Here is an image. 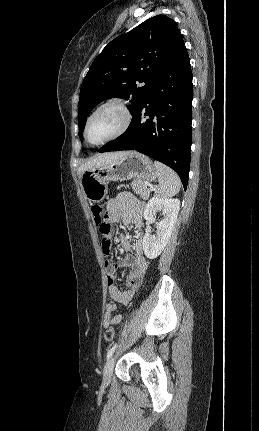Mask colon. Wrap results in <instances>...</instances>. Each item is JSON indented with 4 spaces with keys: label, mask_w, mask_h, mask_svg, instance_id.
Returning <instances> with one entry per match:
<instances>
[{
    "label": "colon",
    "mask_w": 259,
    "mask_h": 431,
    "mask_svg": "<svg viewBox=\"0 0 259 431\" xmlns=\"http://www.w3.org/2000/svg\"><path fill=\"white\" fill-rule=\"evenodd\" d=\"M91 212L94 218V222L98 227L102 251L105 256H109L111 249V235L112 226L110 223L103 219V209L100 205H93ZM115 337V330L113 327H108L104 332V338L107 342H112Z\"/></svg>",
    "instance_id": "1"
}]
</instances>
